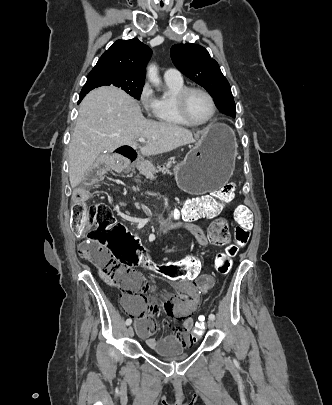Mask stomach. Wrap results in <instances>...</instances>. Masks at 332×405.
<instances>
[{"mask_svg":"<svg viewBox=\"0 0 332 405\" xmlns=\"http://www.w3.org/2000/svg\"><path fill=\"white\" fill-rule=\"evenodd\" d=\"M236 153L233 130L224 123H211L184 160L175 165V180L190 194L219 190L233 174Z\"/></svg>","mask_w":332,"mask_h":405,"instance_id":"stomach-1","label":"stomach"}]
</instances>
